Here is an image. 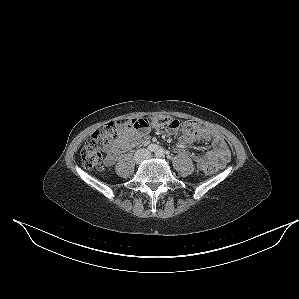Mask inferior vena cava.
Segmentation results:
<instances>
[{
  "label": "inferior vena cava",
  "mask_w": 299,
  "mask_h": 299,
  "mask_svg": "<svg viewBox=\"0 0 299 299\" xmlns=\"http://www.w3.org/2000/svg\"><path fill=\"white\" fill-rule=\"evenodd\" d=\"M149 156L146 149H140L136 152L135 158L138 160H144Z\"/></svg>",
  "instance_id": "1"
}]
</instances>
